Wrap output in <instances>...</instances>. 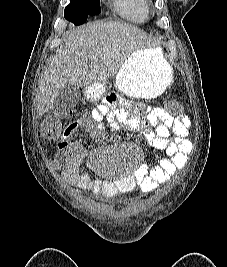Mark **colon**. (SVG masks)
Listing matches in <instances>:
<instances>
[{
  "mask_svg": "<svg viewBox=\"0 0 227 267\" xmlns=\"http://www.w3.org/2000/svg\"><path fill=\"white\" fill-rule=\"evenodd\" d=\"M164 104L167 105V111L171 114H175L181 111L180 105L175 101L165 100ZM63 115L61 114H49L40 124V134L43 138L51 141L62 140L63 135Z\"/></svg>",
  "mask_w": 227,
  "mask_h": 267,
  "instance_id": "1",
  "label": "colon"
}]
</instances>
